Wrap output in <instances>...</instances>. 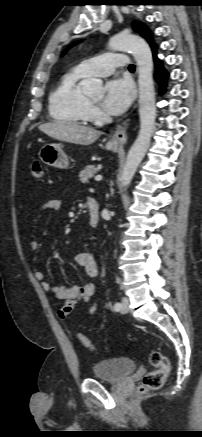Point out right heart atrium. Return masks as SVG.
<instances>
[{
	"label": "right heart atrium",
	"mask_w": 202,
	"mask_h": 437,
	"mask_svg": "<svg viewBox=\"0 0 202 437\" xmlns=\"http://www.w3.org/2000/svg\"><path fill=\"white\" fill-rule=\"evenodd\" d=\"M91 113L96 114V113H97V109L92 108V109H91Z\"/></svg>",
	"instance_id": "d8ad5b80"
}]
</instances>
